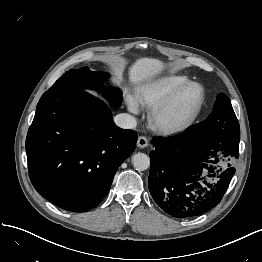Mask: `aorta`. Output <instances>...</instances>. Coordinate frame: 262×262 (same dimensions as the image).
I'll return each mask as SVG.
<instances>
[{
	"mask_svg": "<svg viewBox=\"0 0 262 262\" xmlns=\"http://www.w3.org/2000/svg\"><path fill=\"white\" fill-rule=\"evenodd\" d=\"M133 166L138 171H144L150 166V158L144 153H136L132 158Z\"/></svg>",
	"mask_w": 262,
	"mask_h": 262,
	"instance_id": "aorta-1",
	"label": "aorta"
}]
</instances>
